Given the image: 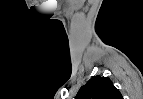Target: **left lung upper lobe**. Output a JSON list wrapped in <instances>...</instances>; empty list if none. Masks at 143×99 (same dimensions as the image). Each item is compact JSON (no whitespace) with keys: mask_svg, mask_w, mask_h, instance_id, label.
I'll return each mask as SVG.
<instances>
[{"mask_svg":"<svg viewBox=\"0 0 143 99\" xmlns=\"http://www.w3.org/2000/svg\"><path fill=\"white\" fill-rule=\"evenodd\" d=\"M75 99H123V97L109 78L97 75L80 88Z\"/></svg>","mask_w":143,"mask_h":99,"instance_id":"1","label":"left lung upper lobe"}]
</instances>
